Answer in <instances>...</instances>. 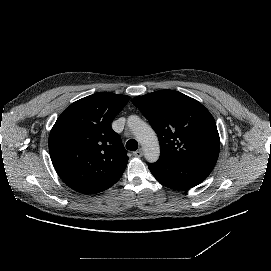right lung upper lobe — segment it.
I'll return each instance as SVG.
<instances>
[{
    "label": "right lung upper lobe",
    "instance_id": "obj_1",
    "mask_svg": "<svg viewBox=\"0 0 271 271\" xmlns=\"http://www.w3.org/2000/svg\"><path fill=\"white\" fill-rule=\"evenodd\" d=\"M130 97L99 92L72 103L49 135V152L60 178L73 190L96 194L114 185L129 157L111 128Z\"/></svg>",
    "mask_w": 271,
    "mask_h": 271
}]
</instances>
